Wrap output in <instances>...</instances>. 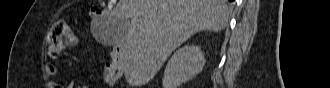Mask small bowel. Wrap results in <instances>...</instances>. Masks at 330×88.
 Segmentation results:
<instances>
[{"label":"small bowel","mask_w":330,"mask_h":88,"mask_svg":"<svg viewBox=\"0 0 330 88\" xmlns=\"http://www.w3.org/2000/svg\"><path fill=\"white\" fill-rule=\"evenodd\" d=\"M72 46H75V45H72ZM45 73L48 76H57V75H59V70H58V68L55 65H53V64H47L46 67H45ZM64 84L65 85L63 86L60 83L52 82L50 84V87L51 88H61V87L74 88V81L71 80V79H67Z\"/></svg>","instance_id":"obj_1"}]
</instances>
